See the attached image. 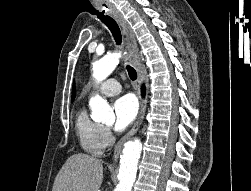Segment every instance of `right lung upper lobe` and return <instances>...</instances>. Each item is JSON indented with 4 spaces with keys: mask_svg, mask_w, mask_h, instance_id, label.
Masks as SVG:
<instances>
[{
    "mask_svg": "<svg viewBox=\"0 0 251 191\" xmlns=\"http://www.w3.org/2000/svg\"><path fill=\"white\" fill-rule=\"evenodd\" d=\"M75 96H76L75 83H73L72 98H71V101H72V102H73V100L75 99Z\"/></svg>",
    "mask_w": 251,
    "mask_h": 191,
    "instance_id": "right-lung-upper-lobe-1",
    "label": "right lung upper lobe"
}]
</instances>
